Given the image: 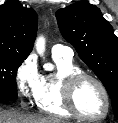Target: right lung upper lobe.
Wrapping results in <instances>:
<instances>
[{
  "instance_id": "obj_1",
  "label": "right lung upper lobe",
  "mask_w": 118,
  "mask_h": 123,
  "mask_svg": "<svg viewBox=\"0 0 118 123\" xmlns=\"http://www.w3.org/2000/svg\"><path fill=\"white\" fill-rule=\"evenodd\" d=\"M37 33V14L14 0L0 6V54L25 57Z\"/></svg>"
}]
</instances>
